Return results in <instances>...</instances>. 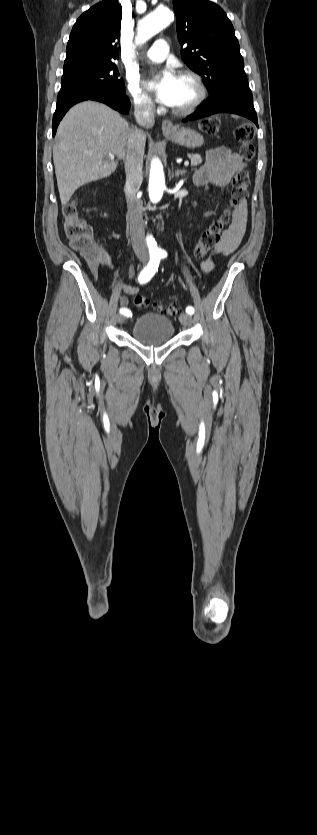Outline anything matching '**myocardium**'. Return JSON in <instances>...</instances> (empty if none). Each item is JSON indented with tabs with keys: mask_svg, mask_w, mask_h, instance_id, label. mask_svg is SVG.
Masks as SVG:
<instances>
[{
	"mask_svg": "<svg viewBox=\"0 0 317 835\" xmlns=\"http://www.w3.org/2000/svg\"><path fill=\"white\" fill-rule=\"evenodd\" d=\"M179 78L189 80L195 88V96L189 104L180 108L172 107V112L175 115L185 116L193 113L202 104L206 98L207 90L202 78L193 71H182Z\"/></svg>",
	"mask_w": 317,
	"mask_h": 835,
	"instance_id": "1",
	"label": "myocardium"
}]
</instances>
